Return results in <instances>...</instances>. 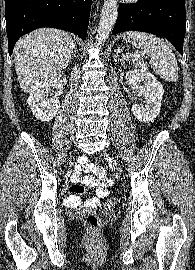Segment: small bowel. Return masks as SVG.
Returning <instances> with one entry per match:
<instances>
[{
	"label": "small bowel",
	"mask_w": 195,
	"mask_h": 270,
	"mask_svg": "<svg viewBox=\"0 0 195 270\" xmlns=\"http://www.w3.org/2000/svg\"><path fill=\"white\" fill-rule=\"evenodd\" d=\"M85 176L79 179V183L70 187V195L65 199V204L69 207L86 206L96 208L100 205V200L107 197L108 187L113 184L105 168L87 162L86 158L79 160L76 174L79 178L81 173ZM84 186L94 189L95 196L88 199H81L80 195L84 192Z\"/></svg>",
	"instance_id": "c3829d8e"
}]
</instances>
